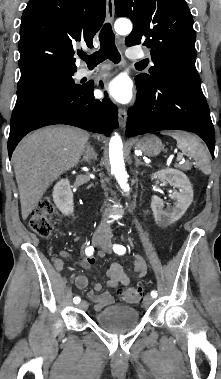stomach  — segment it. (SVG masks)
<instances>
[{
	"label": "stomach",
	"instance_id": "stomach-1",
	"mask_svg": "<svg viewBox=\"0 0 221 379\" xmlns=\"http://www.w3.org/2000/svg\"><path fill=\"white\" fill-rule=\"evenodd\" d=\"M136 149L142 151L147 156H156L163 149V145L158 137L148 135L137 142Z\"/></svg>",
	"mask_w": 221,
	"mask_h": 379
}]
</instances>
